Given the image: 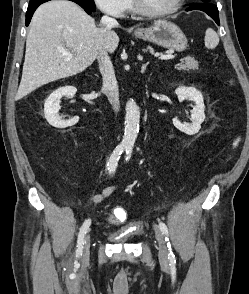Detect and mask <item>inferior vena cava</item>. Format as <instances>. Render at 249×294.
Returning a JSON list of instances; mask_svg holds the SVG:
<instances>
[{
    "instance_id": "obj_1",
    "label": "inferior vena cava",
    "mask_w": 249,
    "mask_h": 294,
    "mask_svg": "<svg viewBox=\"0 0 249 294\" xmlns=\"http://www.w3.org/2000/svg\"><path fill=\"white\" fill-rule=\"evenodd\" d=\"M101 23L107 30H110L112 27L118 25L117 20L106 15L102 17ZM97 60L103 78L102 90L106 94L109 102L111 103L113 110L115 112H118L120 108L118 84L115 77L112 62L106 49L102 48L100 50V52L97 55Z\"/></svg>"
}]
</instances>
